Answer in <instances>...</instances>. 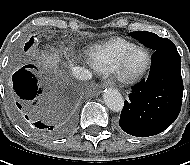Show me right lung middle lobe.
Returning <instances> with one entry per match:
<instances>
[{"label":"right lung middle lobe","mask_w":190,"mask_h":165,"mask_svg":"<svg viewBox=\"0 0 190 165\" xmlns=\"http://www.w3.org/2000/svg\"><path fill=\"white\" fill-rule=\"evenodd\" d=\"M33 43V37L25 44L24 50L26 51Z\"/></svg>","instance_id":"dd1d6c3e"}]
</instances>
